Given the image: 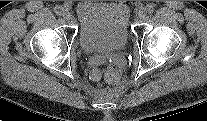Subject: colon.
<instances>
[{
	"instance_id": "colon-1",
	"label": "colon",
	"mask_w": 207,
	"mask_h": 121,
	"mask_svg": "<svg viewBox=\"0 0 207 121\" xmlns=\"http://www.w3.org/2000/svg\"><path fill=\"white\" fill-rule=\"evenodd\" d=\"M98 74V73H96ZM105 79L110 83H115L119 79V70L115 66H110L104 72Z\"/></svg>"
}]
</instances>
